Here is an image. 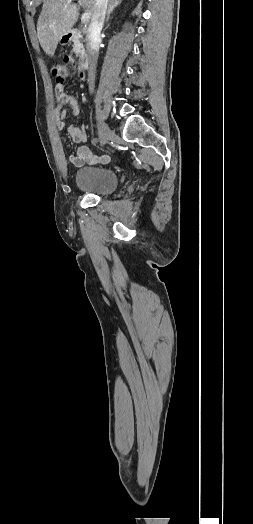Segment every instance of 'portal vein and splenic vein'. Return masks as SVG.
<instances>
[{
	"mask_svg": "<svg viewBox=\"0 0 253 524\" xmlns=\"http://www.w3.org/2000/svg\"><path fill=\"white\" fill-rule=\"evenodd\" d=\"M90 16H91V14H90L89 12H85V13H83V15H82V17H81V21H82L83 23L88 22L89 19H90Z\"/></svg>",
	"mask_w": 253,
	"mask_h": 524,
	"instance_id": "1",
	"label": "portal vein and splenic vein"
}]
</instances>
